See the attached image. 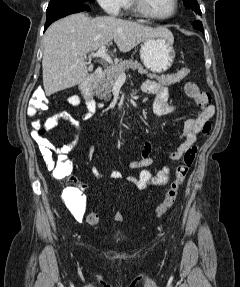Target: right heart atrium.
Listing matches in <instances>:
<instances>
[{
  "instance_id": "obj_1",
  "label": "right heart atrium",
  "mask_w": 240,
  "mask_h": 287,
  "mask_svg": "<svg viewBox=\"0 0 240 287\" xmlns=\"http://www.w3.org/2000/svg\"><path fill=\"white\" fill-rule=\"evenodd\" d=\"M101 8L111 16L121 14L125 0H97Z\"/></svg>"
}]
</instances>
